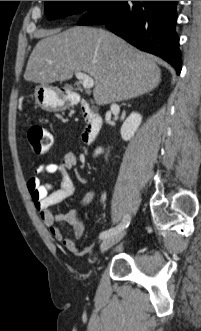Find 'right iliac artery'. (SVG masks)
<instances>
[{
	"instance_id": "obj_1",
	"label": "right iliac artery",
	"mask_w": 201,
	"mask_h": 331,
	"mask_svg": "<svg viewBox=\"0 0 201 331\" xmlns=\"http://www.w3.org/2000/svg\"><path fill=\"white\" fill-rule=\"evenodd\" d=\"M129 224H130V216L127 214L124 216L122 222L118 226L111 228L109 230L103 231L100 234V239H106L109 236L115 235L116 233L120 232L121 230H124L125 228H127L129 226Z\"/></svg>"
}]
</instances>
